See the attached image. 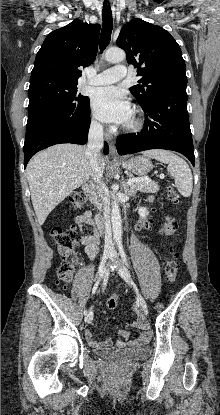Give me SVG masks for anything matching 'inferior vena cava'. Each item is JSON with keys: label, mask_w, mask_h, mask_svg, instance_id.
<instances>
[{"label": "inferior vena cava", "mask_w": 220, "mask_h": 415, "mask_svg": "<svg viewBox=\"0 0 220 415\" xmlns=\"http://www.w3.org/2000/svg\"><path fill=\"white\" fill-rule=\"evenodd\" d=\"M104 137H103V126L100 123H92L89 129L88 135V145H87V156L89 159V165L91 168V176L93 180L97 183H100L102 178V170L99 165L98 157L100 150L103 147ZM98 223L104 225L105 227V245L104 249L107 251H113V242H112V232L110 219L107 214H104V217L98 219Z\"/></svg>", "instance_id": "602c4592"}]
</instances>
